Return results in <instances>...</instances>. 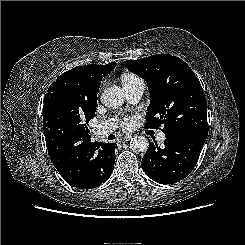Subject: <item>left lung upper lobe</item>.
Listing matches in <instances>:
<instances>
[{
	"label": "left lung upper lobe",
	"mask_w": 245,
	"mask_h": 245,
	"mask_svg": "<svg viewBox=\"0 0 245 245\" xmlns=\"http://www.w3.org/2000/svg\"><path fill=\"white\" fill-rule=\"evenodd\" d=\"M125 66L142 76L151 95L145 128H158L166 137L208 134L207 104L202 86L180 58L156 54L127 60Z\"/></svg>",
	"instance_id": "1"
}]
</instances>
